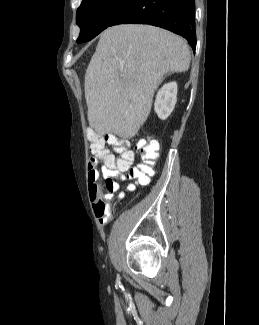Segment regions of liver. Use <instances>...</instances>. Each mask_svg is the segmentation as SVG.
I'll use <instances>...</instances> for the list:
<instances>
[{"instance_id": "1", "label": "liver", "mask_w": 259, "mask_h": 325, "mask_svg": "<svg viewBox=\"0 0 259 325\" xmlns=\"http://www.w3.org/2000/svg\"><path fill=\"white\" fill-rule=\"evenodd\" d=\"M190 61L186 41L165 29L137 24L107 28L85 74L90 127L101 135L134 137L150 114L163 76L187 71Z\"/></svg>"}]
</instances>
